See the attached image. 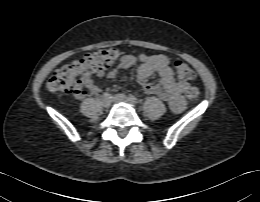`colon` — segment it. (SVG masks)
<instances>
[{
	"label": "colon",
	"instance_id": "5ec220e1",
	"mask_svg": "<svg viewBox=\"0 0 260 202\" xmlns=\"http://www.w3.org/2000/svg\"><path fill=\"white\" fill-rule=\"evenodd\" d=\"M118 53L113 48L94 50L81 59L57 69L47 82L50 91L69 94L82 88L87 77L102 73L110 67L117 59ZM177 76L182 80H191L195 72L186 63L177 61L175 63ZM190 101L196 102L199 98V90L191 87L187 91Z\"/></svg>",
	"mask_w": 260,
	"mask_h": 202
}]
</instances>
